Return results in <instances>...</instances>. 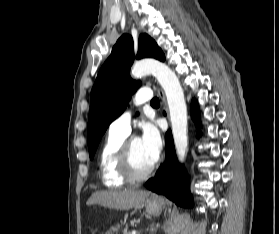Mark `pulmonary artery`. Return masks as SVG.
Wrapping results in <instances>:
<instances>
[{
	"instance_id": "obj_1",
	"label": "pulmonary artery",
	"mask_w": 279,
	"mask_h": 234,
	"mask_svg": "<svg viewBox=\"0 0 279 234\" xmlns=\"http://www.w3.org/2000/svg\"><path fill=\"white\" fill-rule=\"evenodd\" d=\"M152 98L149 90H140L134 97L133 102L136 105L145 103ZM130 110H125L110 125V131L127 135L130 132Z\"/></svg>"
}]
</instances>
